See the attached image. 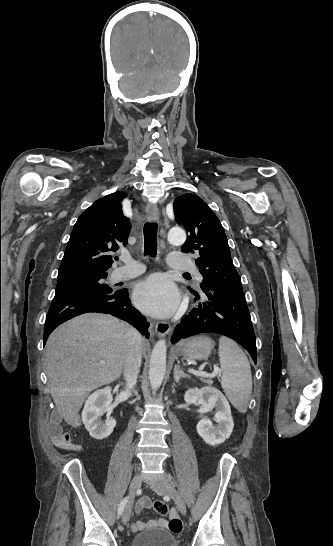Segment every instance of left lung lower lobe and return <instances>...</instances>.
<instances>
[{"mask_svg":"<svg viewBox=\"0 0 333 546\" xmlns=\"http://www.w3.org/2000/svg\"><path fill=\"white\" fill-rule=\"evenodd\" d=\"M196 306L174 330L171 342L200 333H217L242 345L256 363V338L243 291H192Z\"/></svg>","mask_w":333,"mask_h":546,"instance_id":"1","label":"left lung lower lobe"}]
</instances>
